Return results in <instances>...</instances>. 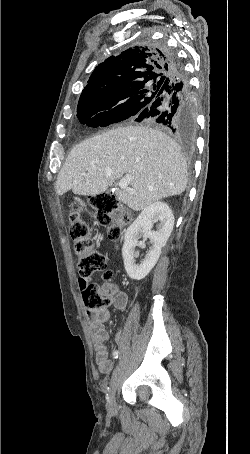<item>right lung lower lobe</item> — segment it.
I'll use <instances>...</instances> for the list:
<instances>
[{"label":"right lung lower lobe","instance_id":"98d812e1","mask_svg":"<svg viewBox=\"0 0 250 454\" xmlns=\"http://www.w3.org/2000/svg\"><path fill=\"white\" fill-rule=\"evenodd\" d=\"M164 49L171 70L154 100L136 115L135 121L158 124L182 139L189 140L196 128L189 80L177 56L171 50Z\"/></svg>","mask_w":250,"mask_h":454}]
</instances>
